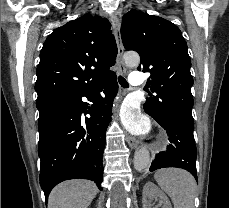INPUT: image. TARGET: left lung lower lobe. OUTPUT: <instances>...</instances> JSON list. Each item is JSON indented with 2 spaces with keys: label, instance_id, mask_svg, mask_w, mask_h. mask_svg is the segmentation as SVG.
<instances>
[{
  "label": "left lung lower lobe",
  "instance_id": "0a47b994",
  "mask_svg": "<svg viewBox=\"0 0 229 208\" xmlns=\"http://www.w3.org/2000/svg\"><path fill=\"white\" fill-rule=\"evenodd\" d=\"M166 131L171 144L167 150L156 154L150 171L165 167H178L189 171L198 181L196 171V145L193 137L194 125L181 119L152 116Z\"/></svg>",
  "mask_w": 229,
  "mask_h": 208
}]
</instances>
